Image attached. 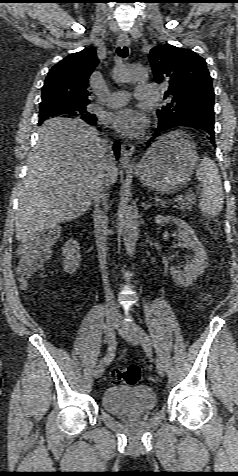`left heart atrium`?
Wrapping results in <instances>:
<instances>
[{
    "label": "left heart atrium",
    "mask_w": 238,
    "mask_h": 476,
    "mask_svg": "<svg viewBox=\"0 0 238 476\" xmlns=\"http://www.w3.org/2000/svg\"><path fill=\"white\" fill-rule=\"evenodd\" d=\"M106 123L122 135L138 137L147 127L148 119L141 111L135 108H123L108 113Z\"/></svg>",
    "instance_id": "left-heart-atrium-1"
}]
</instances>
